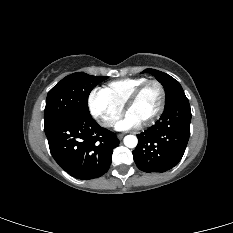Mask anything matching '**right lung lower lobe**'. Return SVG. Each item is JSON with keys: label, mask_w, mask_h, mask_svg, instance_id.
I'll use <instances>...</instances> for the list:
<instances>
[{"label": "right lung lower lobe", "mask_w": 233, "mask_h": 233, "mask_svg": "<svg viewBox=\"0 0 233 233\" xmlns=\"http://www.w3.org/2000/svg\"><path fill=\"white\" fill-rule=\"evenodd\" d=\"M50 152L55 161L78 179H93L106 173L118 146L116 134L99 126L90 114L68 116L45 125Z\"/></svg>", "instance_id": "right-lung-lower-lobe-1"}]
</instances>
